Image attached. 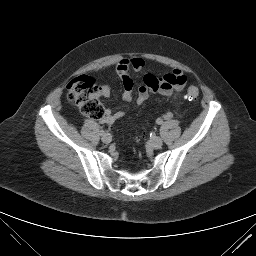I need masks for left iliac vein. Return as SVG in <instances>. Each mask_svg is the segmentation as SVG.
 Wrapping results in <instances>:
<instances>
[{"label":"left iliac vein","mask_w":256,"mask_h":256,"mask_svg":"<svg viewBox=\"0 0 256 256\" xmlns=\"http://www.w3.org/2000/svg\"><path fill=\"white\" fill-rule=\"evenodd\" d=\"M149 144L154 149H159L163 145V141L160 137H152L149 141Z\"/></svg>","instance_id":"obj_1"}]
</instances>
